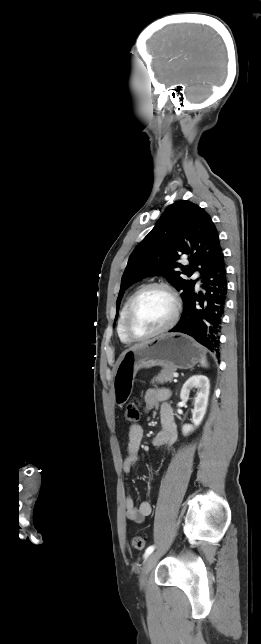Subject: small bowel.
I'll return each mask as SVG.
<instances>
[{
	"label": "small bowel",
	"mask_w": 261,
	"mask_h": 644,
	"mask_svg": "<svg viewBox=\"0 0 261 644\" xmlns=\"http://www.w3.org/2000/svg\"><path fill=\"white\" fill-rule=\"evenodd\" d=\"M170 397V391L165 388H151L144 395V410L152 411L160 406V421L162 430L152 439L154 448L174 446L178 439V429L174 420V413L171 405L167 402ZM143 438V428L140 424H132L128 431V443L126 448V457L123 461V471L128 474L139 459V450ZM151 513V504L148 501H142L136 505L131 496L125 498V515L126 518L136 523H142Z\"/></svg>",
	"instance_id": "small-bowel-1"
}]
</instances>
